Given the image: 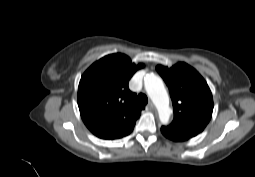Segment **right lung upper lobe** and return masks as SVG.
Instances as JSON below:
<instances>
[{
  "label": "right lung upper lobe",
  "instance_id": "right-lung-upper-lobe-1",
  "mask_svg": "<svg viewBox=\"0 0 255 177\" xmlns=\"http://www.w3.org/2000/svg\"><path fill=\"white\" fill-rule=\"evenodd\" d=\"M121 53L107 55L93 63L82 75L78 106L87 128L102 139H115L135 125L143 106L128 82L143 68Z\"/></svg>",
  "mask_w": 255,
  "mask_h": 177
}]
</instances>
